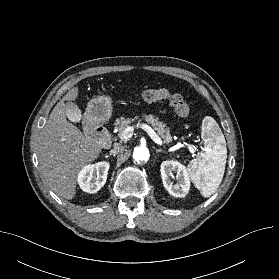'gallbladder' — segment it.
<instances>
[{"mask_svg": "<svg viewBox=\"0 0 279 279\" xmlns=\"http://www.w3.org/2000/svg\"><path fill=\"white\" fill-rule=\"evenodd\" d=\"M66 112H67V117L69 118L70 121L75 123L81 121V111L76 104L69 102L66 108Z\"/></svg>", "mask_w": 279, "mask_h": 279, "instance_id": "obj_1", "label": "gallbladder"}]
</instances>
